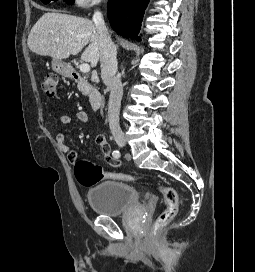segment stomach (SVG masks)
Masks as SVG:
<instances>
[{
    "label": "stomach",
    "mask_w": 255,
    "mask_h": 272,
    "mask_svg": "<svg viewBox=\"0 0 255 272\" xmlns=\"http://www.w3.org/2000/svg\"><path fill=\"white\" fill-rule=\"evenodd\" d=\"M52 70L64 77H70L72 74L71 66L62 60H53Z\"/></svg>",
    "instance_id": "stomach-1"
}]
</instances>
